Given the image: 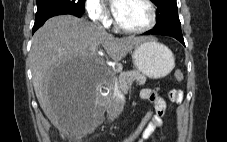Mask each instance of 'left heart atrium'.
Here are the masks:
<instances>
[{
  "mask_svg": "<svg viewBox=\"0 0 227 142\" xmlns=\"http://www.w3.org/2000/svg\"><path fill=\"white\" fill-rule=\"evenodd\" d=\"M122 2H123V0H113V3H112V11H113V13H114L115 16H116V14L119 11Z\"/></svg>",
  "mask_w": 227,
  "mask_h": 142,
  "instance_id": "left-heart-atrium-1",
  "label": "left heart atrium"
}]
</instances>
